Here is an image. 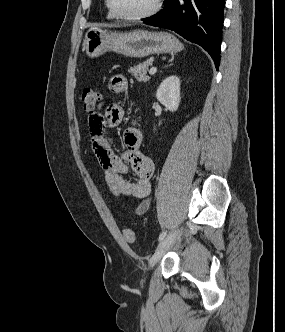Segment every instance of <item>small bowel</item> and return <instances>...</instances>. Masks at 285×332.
Returning <instances> with one entry per match:
<instances>
[{
  "label": "small bowel",
  "mask_w": 285,
  "mask_h": 332,
  "mask_svg": "<svg viewBox=\"0 0 285 332\" xmlns=\"http://www.w3.org/2000/svg\"><path fill=\"white\" fill-rule=\"evenodd\" d=\"M110 90L114 93H125L128 90V81L125 76L118 74L109 82ZM102 103L94 107L89 118L90 136L95 155L101 163L104 172V180L109 191L114 196H128L140 199L136 208L137 214H143L149 207L151 194V178L155 172L153 160L141 150L143 135L141 131L131 126L124 131L121 154H117L104 135L106 125L118 126L124 118V110L111 104L106 96L101 98ZM130 164L136 174L135 180H127L124 174L128 172Z\"/></svg>",
  "instance_id": "c3829d8e"
}]
</instances>
